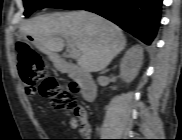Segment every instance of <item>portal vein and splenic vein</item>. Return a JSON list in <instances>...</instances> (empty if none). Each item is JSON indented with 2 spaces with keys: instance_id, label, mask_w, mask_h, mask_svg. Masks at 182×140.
I'll list each match as a JSON object with an SVG mask.
<instances>
[{
  "instance_id": "1",
  "label": "portal vein and splenic vein",
  "mask_w": 182,
  "mask_h": 140,
  "mask_svg": "<svg viewBox=\"0 0 182 140\" xmlns=\"http://www.w3.org/2000/svg\"><path fill=\"white\" fill-rule=\"evenodd\" d=\"M66 41L68 43V53H69V57L76 59L79 57V51L76 49V47L73 45L72 41L68 38L65 37Z\"/></svg>"
}]
</instances>
